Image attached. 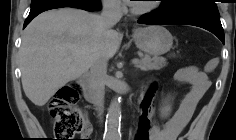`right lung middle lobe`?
Listing matches in <instances>:
<instances>
[{"label": "right lung middle lobe", "mask_w": 236, "mask_h": 140, "mask_svg": "<svg viewBox=\"0 0 236 140\" xmlns=\"http://www.w3.org/2000/svg\"><path fill=\"white\" fill-rule=\"evenodd\" d=\"M56 1H63V0H32L31 2V8L51 2H56ZM78 2H82L86 5L92 6V7H98L100 6V1L99 0H74Z\"/></svg>", "instance_id": "right-lung-middle-lobe-1"}]
</instances>
